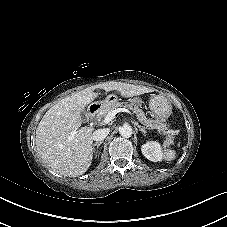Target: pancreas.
<instances>
[{
	"mask_svg": "<svg viewBox=\"0 0 227 227\" xmlns=\"http://www.w3.org/2000/svg\"><path fill=\"white\" fill-rule=\"evenodd\" d=\"M119 107H126L133 111L134 114H136L139 122L146 126L149 129H157L159 132H162L163 134H166V140L168 144H171L173 142L174 133L168 129L167 125L163 123L159 119H148L145 115V113L137 106H133L129 103H123V102H116L111 105L104 106L100 111V118H105L106 115L119 108Z\"/></svg>",
	"mask_w": 227,
	"mask_h": 227,
	"instance_id": "cf45deb5",
	"label": "pancreas"
}]
</instances>
